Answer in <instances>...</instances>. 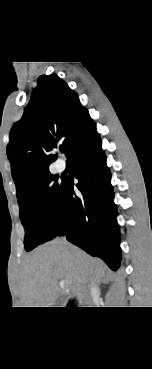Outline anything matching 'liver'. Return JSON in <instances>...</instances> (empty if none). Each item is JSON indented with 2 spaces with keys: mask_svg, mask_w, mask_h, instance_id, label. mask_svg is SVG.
I'll list each match as a JSON object with an SVG mask.
<instances>
[{
  "mask_svg": "<svg viewBox=\"0 0 152 369\" xmlns=\"http://www.w3.org/2000/svg\"><path fill=\"white\" fill-rule=\"evenodd\" d=\"M105 265L63 239H55L34 250L24 261L20 276L23 307H52L60 295L59 280L71 294L84 293L92 282H100Z\"/></svg>",
  "mask_w": 152,
  "mask_h": 369,
  "instance_id": "liver-1",
  "label": "liver"
}]
</instances>
